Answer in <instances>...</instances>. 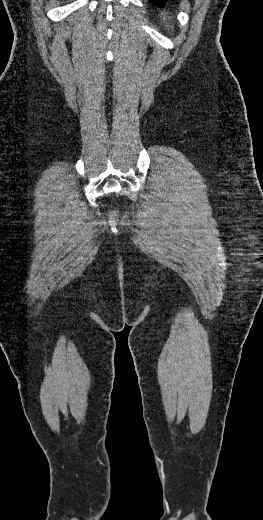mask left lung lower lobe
I'll use <instances>...</instances> for the list:
<instances>
[{
  "mask_svg": "<svg viewBox=\"0 0 263 520\" xmlns=\"http://www.w3.org/2000/svg\"><path fill=\"white\" fill-rule=\"evenodd\" d=\"M149 1L157 6H161V7L164 6V4L167 2V0H149Z\"/></svg>",
  "mask_w": 263,
  "mask_h": 520,
  "instance_id": "1",
  "label": "left lung lower lobe"
}]
</instances>
